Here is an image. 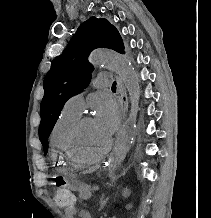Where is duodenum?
Returning a JSON list of instances; mask_svg holds the SVG:
<instances>
[{"mask_svg": "<svg viewBox=\"0 0 211 218\" xmlns=\"http://www.w3.org/2000/svg\"><path fill=\"white\" fill-rule=\"evenodd\" d=\"M79 216L81 218H91V214L87 210H81L80 213H79Z\"/></svg>", "mask_w": 211, "mask_h": 218, "instance_id": "1", "label": "duodenum"}]
</instances>
